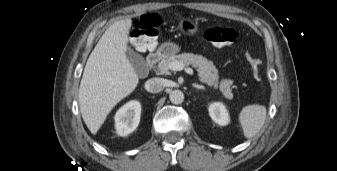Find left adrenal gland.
Wrapping results in <instances>:
<instances>
[{"label":"left adrenal gland","instance_id":"obj_1","mask_svg":"<svg viewBox=\"0 0 337 171\" xmlns=\"http://www.w3.org/2000/svg\"><path fill=\"white\" fill-rule=\"evenodd\" d=\"M194 87L198 90H205L204 86L194 84Z\"/></svg>","mask_w":337,"mask_h":171}]
</instances>
